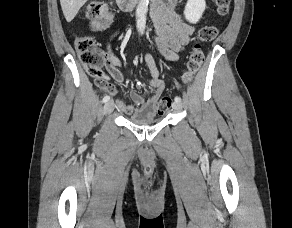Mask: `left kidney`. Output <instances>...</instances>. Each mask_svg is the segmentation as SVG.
Listing matches in <instances>:
<instances>
[{
  "mask_svg": "<svg viewBox=\"0 0 292 228\" xmlns=\"http://www.w3.org/2000/svg\"><path fill=\"white\" fill-rule=\"evenodd\" d=\"M205 8V0H188L184 10L186 20L192 24H196L202 17Z\"/></svg>",
  "mask_w": 292,
  "mask_h": 228,
  "instance_id": "5707ae66",
  "label": "left kidney"
}]
</instances>
